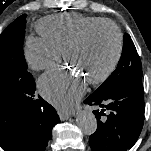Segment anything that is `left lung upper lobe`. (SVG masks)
I'll use <instances>...</instances> for the list:
<instances>
[{
  "label": "left lung upper lobe",
  "instance_id": "obj_1",
  "mask_svg": "<svg viewBox=\"0 0 151 151\" xmlns=\"http://www.w3.org/2000/svg\"><path fill=\"white\" fill-rule=\"evenodd\" d=\"M132 78H142L141 60L129 34L124 35L121 59L115 71L92 94L104 95L115 91L120 85Z\"/></svg>",
  "mask_w": 151,
  "mask_h": 151
}]
</instances>
